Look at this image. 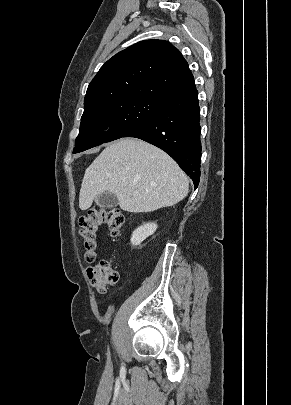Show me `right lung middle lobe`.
<instances>
[{
	"label": "right lung middle lobe",
	"instance_id": "1",
	"mask_svg": "<svg viewBox=\"0 0 291 405\" xmlns=\"http://www.w3.org/2000/svg\"><path fill=\"white\" fill-rule=\"evenodd\" d=\"M164 102L125 98L84 108L73 153L124 137L147 122Z\"/></svg>",
	"mask_w": 291,
	"mask_h": 405
}]
</instances>
